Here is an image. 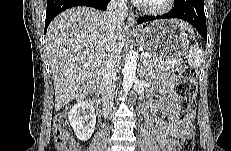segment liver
<instances>
[{
  "label": "liver",
  "mask_w": 231,
  "mask_h": 151,
  "mask_svg": "<svg viewBox=\"0 0 231 151\" xmlns=\"http://www.w3.org/2000/svg\"><path fill=\"white\" fill-rule=\"evenodd\" d=\"M182 28L189 25L175 20ZM126 26L112 34L106 13L80 6L65 10L50 23L45 50L55 89V110L95 90L104 75L114 44L120 54L126 43Z\"/></svg>",
  "instance_id": "obj_1"
}]
</instances>
